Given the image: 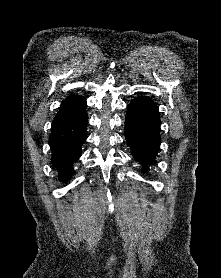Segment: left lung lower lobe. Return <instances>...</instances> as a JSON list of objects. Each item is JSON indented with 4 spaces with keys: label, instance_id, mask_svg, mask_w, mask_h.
Segmentation results:
<instances>
[{
    "label": "left lung lower lobe",
    "instance_id": "0a47b994",
    "mask_svg": "<svg viewBox=\"0 0 221 278\" xmlns=\"http://www.w3.org/2000/svg\"><path fill=\"white\" fill-rule=\"evenodd\" d=\"M159 131L157 105L152 100H132L125 119V138L133 157L144 168L154 161L160 149Z\"/></svg>",
    "mask_w": 221,
    "mask_h": 278
}]
</instances>
